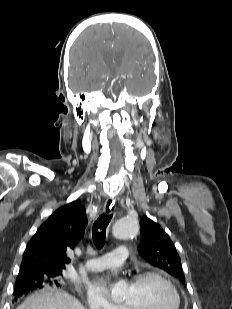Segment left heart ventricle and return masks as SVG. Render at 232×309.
Segmentation results:
<instances>
[{
	"mask_svg": "<svg viewBox=\"0 0 232 309\" xmlns=\"http://www.w3.org/2000/svg\"><path fill=\"white\" fill-rule=\"evenodd\" d=\"M122 303L131 309H172L175 299L165 283L150 278L128 284L123 291Z\"/></svg>",
	"mask_w": 232,
	"mask_h": 309,
	"instance_id": "1",
	"label": "left heart ventricle"
}]
</instances>
